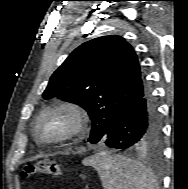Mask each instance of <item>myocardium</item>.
<instances>
[{
    "label": "myocardium",
    "instance_id": "f54148a6",
    "mask_svg": "<svg viewBox=\"0 0 188 189\" xmlns=\"http://www.w3.org/2000/svg\"><path fill=\"white\" fill-rule=\"evenodd\" d=\"M51 114L65 115L68 125L61 134L46 138L39 134L38 128L42 119ZM88 121L87 112L80 104L71 100H57L40 110L33 122L32 132L35 139L40 143H60L81 136L87 129Z\"/></svg>",
    "mask_w": 188,
    "mask_h": 189
}]
</instances>
